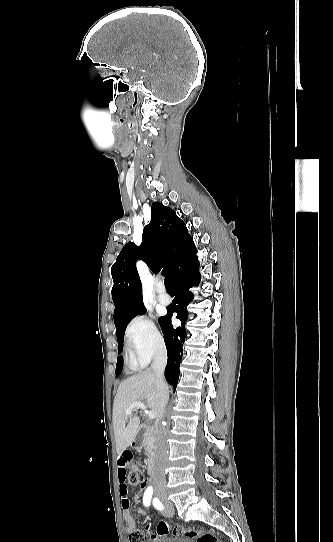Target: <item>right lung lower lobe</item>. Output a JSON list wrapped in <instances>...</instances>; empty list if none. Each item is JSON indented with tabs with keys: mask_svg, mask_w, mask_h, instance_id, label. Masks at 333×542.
Masks as SVG:
<instances>
[{
	"mask_svg": "<svg viewBox=\"0 0 333 542\" xmlns=\"http://www.w3.org/2000/svg\"><path fill=\"white\" fill-rule=\"evenodd\" d=\"M199 261L196 256L194 242L180 251L175 258L172 268V285L176 292V297L172 304L168 306V313L160 320V325L164 334V341L168 353L167 366L165 368V378L167 382L176 389L179 378V365L182 357V343L185 340V322L187 319L186 306L192 301L193 295L188 291L192 286L199 283L200 275ZM177 313L176 318L182 322L181 327L174 328L171 324L173 313Z\"/></svg>",
	"mask_w": 333,
	"mask_h": 542,
	"instance_id": "1",
	"label": "right lung lower lobe"
}]
</instances>
